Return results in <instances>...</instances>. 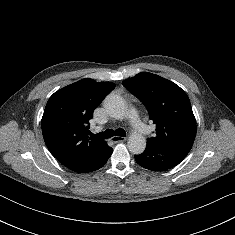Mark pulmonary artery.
I'll return each mask as SVG.
<instances>
[{
	"label": "pulmonary artery",
	"instance_id": "obj_1",
	"mask_svg": "<svg viewBox=\"0 0 235 235\" xmlns=\"http://www.w3.org/2000/svg\"><path fill=\"white\" fill-rule=\"evenodd\" d=\"M128 119L131 126L139 133L146 132V126L140 121L138 114L134 108L129 109L128 111Z\"/></svg>",
	"mask_w": 235,
	"mask_h": 235
}]
</instances>
